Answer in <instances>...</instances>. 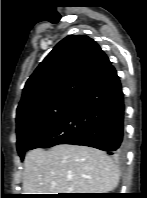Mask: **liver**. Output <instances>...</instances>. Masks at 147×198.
I'll list each match as a JSON object with an SVG mask.
<instances>
[{
  "label": "liver",
  "instance_id": "6515ba94",
  "mask_svg": "<svg viewBox=\"0 0 147 198\" xmlns=\"http://www.w3.org/2000/svg\"><path fill=\"white\" fill-rule=\"evenodd\" d=\"M119 182V170L103 151L59 144L33 149L24 159V194L107 193Z\"/></svg>",
  "mask_w": 147,
  "mask_h": 198
}]
</instances>
